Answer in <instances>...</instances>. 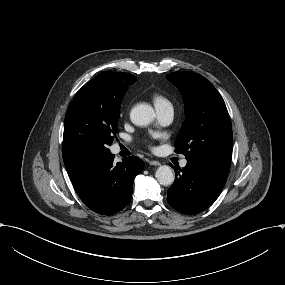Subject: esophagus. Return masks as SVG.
<instances>
[{
  "instance_id": "esophagus-1",
  "label": "esophagus",
  "mask_w": 285,
  "mask_h": 285,
  "mask_svg": "<svg viewBox=\"0 0 285 285\" xmlns=\"http://www.w3.org/2000/svg\"><path fill=\"white\" fill-rule=\"evenodd\" d=\"M150 165H154V166H159L160 162L159 161H149Z\"/></svg>"
}]
</instances>
